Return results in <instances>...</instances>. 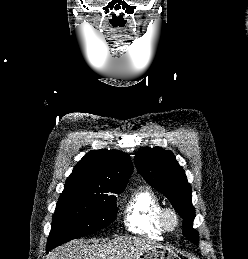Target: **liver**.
<instances>
[{"label": "liver", "instance_id": "liver-1", "mask_svg": "<svg viewBox=\"0 0 248 259\" xmlns=\"http://www.w3.org/2000/svg\"><path fill=\"white\" fill-rule=\"evenodd\" d=\"M155 242L139 237H118L88 245L82 239L68 242L51 251L48 259H138Z\"/></svg>", "mask_w": 248, "mask_h": 259}]
</instances>
